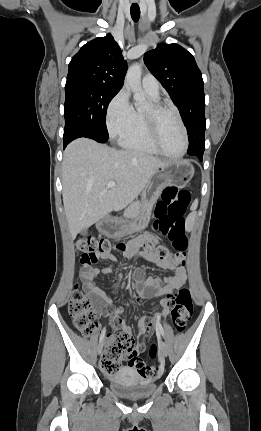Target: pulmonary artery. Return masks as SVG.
I'll list each match as a JSON object with an SVG mask.
<instances>
[{
	"instance_id": "e3ab8cb5",
	"label": "pulmonary artery",
	"mask_w": 261,
	"mask_h": 431,
	"mask_svg": "<svg viewBox=\"0 0 261 431\" xmlns=\"http://www.w3.org/2000/svg\"><path fill=\"white\" fill-rule=\"evenodd\" d=\"M142 87L144 90L152 95L158 96L159 94V82L151 75L147 74L142 79Z\"/></svg>"
}]
</instances>
